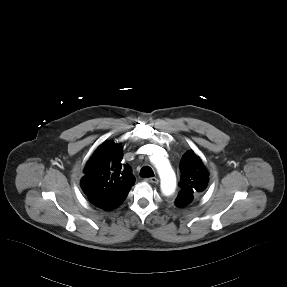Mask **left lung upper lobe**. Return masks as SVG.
I'll list each match as a JSON object with an SVG mask.
<instances>
[{
  "label": "left lung upper lobe",
  "mask_w": 287,
  "mask_h": 287,
  "mask_svg": "<svg viewBox=\"0 0 287 287\" xmlns=\"http://www.w3.org/2000/svg\"><path fill=\"white\" fill-rule=\"evenodd\" d=\"M179 168L181 190L176 198V205L184 207L191 203L193 195L206 188L209 178L201 159L192 150L182 156Z\"/></svg>",
  "instance_id": "5c2ea615"
}]
</instances>
